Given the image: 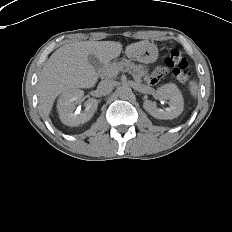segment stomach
<instances>
[{
	"instance_id": "obj_1",
	"label": "stomach",
	"mask_w": 232,
	"mask_h": 232,
	"mask_svg": "<svg viewBox=\"0 0 232 232\" xmlns=\"http://www.w3.org/2000/svg\"><path fill=\"white\" fill-rule=\"evenodd\" d=\"M129 57L145 64L153 63L158 58V49L154 44L148 43L133 54L129 55Z\"/></svg>"
}]
</instances>
